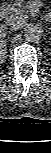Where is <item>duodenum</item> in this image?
<instances>
[{
  "instance_id": "duodenum-1",
  "label": "duodenum",
  "mask_w": 51,
  "mask_h": 153,
  "mask_svg": "<svg viewBox=\"0 0 51 153\" xmlns=\"http://www.w3.org/2000/svg\"><path fill=\"white\" fill-rule=\"evenodd\" d=\"M6 16V10L5 9H1L0 10V19H4Z\"/></svg>"
}]
</instances>
